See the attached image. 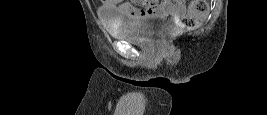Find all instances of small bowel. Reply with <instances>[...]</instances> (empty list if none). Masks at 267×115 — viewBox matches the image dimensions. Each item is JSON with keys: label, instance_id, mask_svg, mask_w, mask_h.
<instances>
[{"label": "small bowel", "instance_id": "1", "mask_svg": "<svg viewBox=\"0 0 267 115\" xmlns=\"http://www.w3.org/2000/svg\"><path fill=\"white\" fill-rule=\"evenodd\" d=\"M135 4L140 5L137 7ZM134 3L125 2L120 5L117 1L106 0L103 1L102 9H112L117 7L122 14L129 19H137L144 14H162L179 16L183 13L185 7L181 2H155V1H137Z\"/></svg>", "mask_w": 267, "mask_h": 115}]
</instances>
